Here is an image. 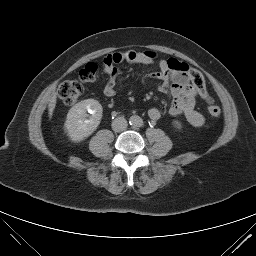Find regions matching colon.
Segmentation results:
<instances>
[{"mask_svg": "<svg viewBox=\"0 0 256 256\" xmlns=\"http://www.w3.org/2000/svg\"><path fill=\"white\" fill-rule=\"evenodd\" d=\"M118 59L112 54L104 58L103 64L106 67H115ZM188 76L190 78L192 86L200 94V96L209 104L208 113L212 117H219L221 110L218 106L213 104V99L209 95L206 89L205 79L201 72L196 69L188 68ZM99 75V67L94 62L87 63L79 72V79L82 82H92L97 79ZM57 94L59 98L66 105H72L78 101L83 94V86L79 81L66 80L59 84L57 88Z\"/></svg>", "mask_w": 256, "mask_h": 256, "instance_id": "colon-1", "label": "colon"}]
</instances>
